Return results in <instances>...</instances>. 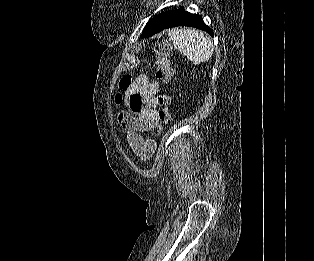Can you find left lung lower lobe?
<instances>
[{
    "label": "left lung lower lobe",
    "mask_w": 314,
    "mask_h": 261,
    "mask_svg": "<svg viewBox=\"0 0 314 261\" xmlns=\"http://www.w3.org/2000/svg\"><path fill=\"white\" fill-rule=\"evenodd\" d=\"M175 26L195 27L206 31L211 36H213V31L206 24H204L203 19L200 15L186 12L184 11L183 7H181L176 12V14L170 19V21L167 24H165L158 32L162 31L163 29L172 28Z\"/></svg>",
    "instance_id": "left-lung-lower-lobe-1"
}]
</instances>
